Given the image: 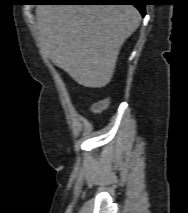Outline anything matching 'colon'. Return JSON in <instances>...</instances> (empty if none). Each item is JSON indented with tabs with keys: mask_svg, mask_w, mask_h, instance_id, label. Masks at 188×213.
Instances as JSON below:
<instances>
[{
	"mask_svg": "<svg viewBox=\"0 0 188 213\" xmlns=\"http://www.w3.org/2000/svg\"><path fill=\"white\" fill-rule=\"evenodd\" d=\"M108 105H109L108 99H100V100L95 101L92 104L91 110L95 113H100V112H103L104 110H106Z\"/></svg>",
	"mask_w": 188,
	"mask_h": 213,
	"instance_id": "obj_1",
	"label": "colon"
}]
</instances>
